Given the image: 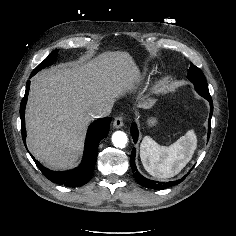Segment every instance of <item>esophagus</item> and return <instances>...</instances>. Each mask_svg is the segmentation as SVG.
<instances>
[{
    "label": "esophagus",
    "mask_w": 236,
    "mask_h": 236,
    "mask_svg": "<svg viewBox=\"0 0 236 236\" xmlns=\"http://www.w3.org/2000/svg\"><path fill=\"white\" fill-rule=\"evenodd\" d=\"M113 126L117 129L121 128L123 126V118L121 116H117L114 119Z\"/></svg>",
    "instance_id": "34e87169"
}]
</instances>
